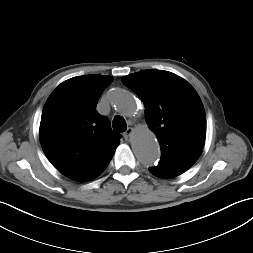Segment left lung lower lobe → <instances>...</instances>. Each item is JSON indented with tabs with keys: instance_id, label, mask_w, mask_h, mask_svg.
<instances>
[{
	"instance_id": "obj_1",
	"label": "left lung lower lobe",
	"mask_w": 253,
	"mask_h": 253,
	"mask_svg": "<svg viewBox=\"0 0 253 253\" xmlns=\"http://www.w3.org/2000/svg\"><path fill=\"white\" fill-rule=\"evenodd\" d=\"M186 170L187 169L173 168V167H167V166H161V165H157L155 167L149 168V171L153 175H155L157 177H161V178L175 177V176L182 174Z\"/></svg>"
}]
</instances>
